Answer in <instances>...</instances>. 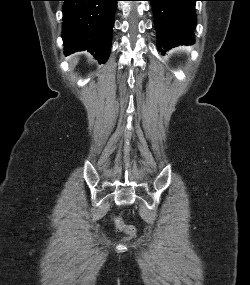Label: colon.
<instances>
[{
    "label": "colon",
    "mask_w": 250,
    "mask_h": 285,
    "mask_svg": "<svg viewBox=\"0 0 250 285\" xmlns=\"http://www.w3.org/2000/svg\"><path fill=\"white\" fill-rule=\"evenodd\" d=\"M114 223H115L116 228L119 231H123L126 234H128L129 236H132L135 232L134 227L131 225L125 224L120 217H117V216L114 217Z\"/></svg>",
    "instance_id": "5ec220e1"
}]
</instances>
